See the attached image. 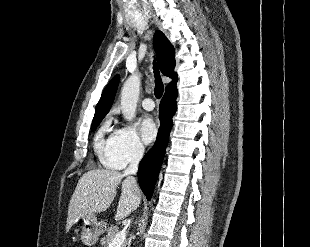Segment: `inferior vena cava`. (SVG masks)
<instances>
[{
    "instance_id": "602c4592",
    "label": "inferior vena cava",
    "mask_w": 310,
    "mask_h": 247,
    "mask_svg": "<svg viewBox=\"0 0 310 247\" xmlns=\"http://www.w3.org/2000/svg\"><path fill=\"white\" fill-rule=\"evenodd\" d=\"M144 147L141 144H137L132 152L131 161L128 168L125 170V175H133L138 171V165L143 157ZM133 178V177H132Z\"/></svg>"
}]
</instances>
